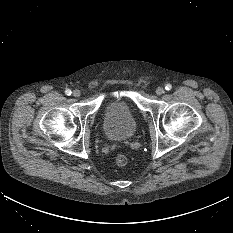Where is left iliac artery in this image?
<instances>
[{"instance_id":"obj_1","label":"left iliac artery","mask_w":233,"mask_h":233,"mask_svg":"<svg viewBox=\"0 0 233 233\" xmlns=\"http://www.w3.org/2000/svg\"><path fill=\"white\" fill-rule=\"evenodd\" d=\"M165 89H166L167 91L171 90V89H172V85H171V84H167V85L165 86Z\"/></svg>"}]
</instances>
